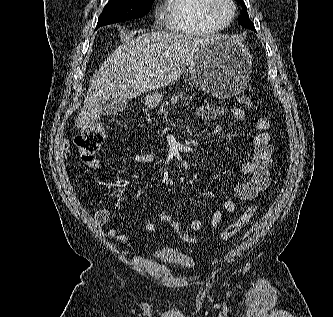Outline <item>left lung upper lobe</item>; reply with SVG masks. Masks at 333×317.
<instances>
[{
	"label": "left lung upper lobe",
	"instance_id": "left-lung-upper-lobe-1",
	"mask_svg": "<svg viewBox=\"0 0 333 317\" xmlns=\"http://www.w3.org/2000/svg\"><path fill=\"white\" fill-rule=\"evenodd\" d=\"M236 2H238L243 8H244V11L243 13L241 14V16L239 17L238 19V22L248 28V29H251V30H254L255 31V27H254V24L253 22H251V20L249 19V15L247 13V7L245 6V3L243 0H236Z\"/></svg>",
	"mask_w": 333,
	"mask_h": 317
}]
</instances>
